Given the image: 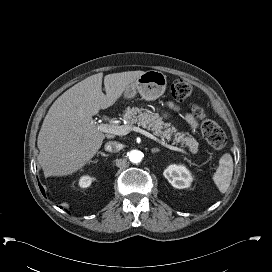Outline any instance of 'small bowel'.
I'll use <instances>...</instances> for the list:
<instances>
[{
  "instance_id": "obj_1",
  "label": "small bowel",
  "mask_w": 272,
  "mask_h": 272,
  "mask_svg": "<svg viewBox=\"0 0 272 272\" xmlns=\"http://www.w3.org/2000/svg\"><path fill=\"white\" fill-rule=\"evenodd\" d=\"M168 105H169V107L175 109V105H174V104L169 103ZM185 117H186L187 122L190 124V126H191L193 129H195V128L197 127V122H196L195 118L193 117V115L187 113V114L185 115Z\"/></svg>"
}]
</instances>
